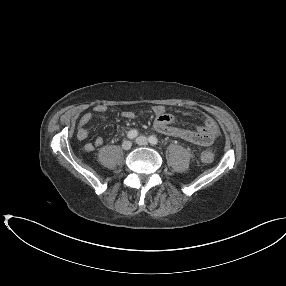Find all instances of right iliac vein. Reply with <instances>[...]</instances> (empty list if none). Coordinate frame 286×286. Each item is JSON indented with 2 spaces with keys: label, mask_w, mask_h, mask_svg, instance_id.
I'll use <instances>...</instances> for the list:
<instances>
[{
  "label": "right iliac vein",
  "mask_w": 286,
  "mask_h": 286,
  "mask_svg": "<svg viewBox=\"0 0 286 286\" xmlns=\"http://www.w3.org/2000/svg\"><path fill=\"white\" fill-rule=\"evenodd\" d=\"M132 147V143L129 140H126L122 143V148L124 150H129Z\"/></svg>",
  "instance_id": "obj_1"
}]
</instances>
